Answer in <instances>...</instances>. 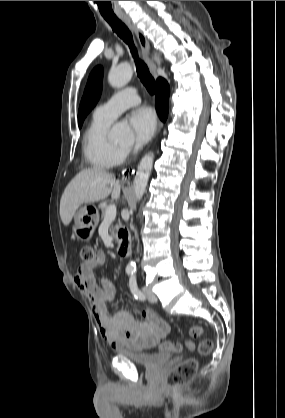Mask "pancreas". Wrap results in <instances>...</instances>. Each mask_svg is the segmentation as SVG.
<instances>
[{"mask_svg": "<svg viewBox=\"0 0 285 418\" xmlns=\"http://www.w3.org/2000/svg\"><path fill=\"white\" fill-rule=\"evenodd\" d=\"M107 207L108 206H103L101 209H102V217H105V212H106V210H107ZM121 227V224L119 223V224H117V225H111V227H110V233H111V235L112 236H114L115 235V231L117 230V229H119Z\"/></svg>", "mask_w": 285, "mask_h": 418, "instance_id": "cf45deb5", "label": "pancreas"}]
</instances>
